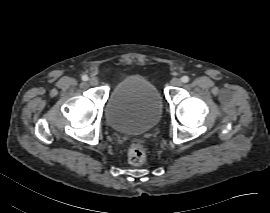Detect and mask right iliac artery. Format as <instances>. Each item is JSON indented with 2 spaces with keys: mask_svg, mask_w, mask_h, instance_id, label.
<instances>
[{
  "mask_svg": "<svg viewBox=\"0 0 270 213\" xmlns=\"http://www.w3.org/2000/svg\"><path fill=\"white\" fill-rule=\"evenodd\" d=\"M88 79H89V78H88L87 75H83V76H82V80H83V81H88Z\"/></svg>",
  "mask_w": 270,
  "mask_h": 213,
  "instance_id": "82829eb1",
  "label": "right iliac artery"
}]
</instances>
